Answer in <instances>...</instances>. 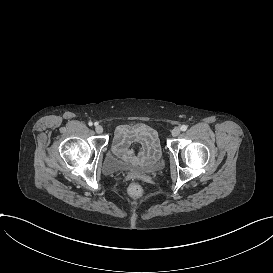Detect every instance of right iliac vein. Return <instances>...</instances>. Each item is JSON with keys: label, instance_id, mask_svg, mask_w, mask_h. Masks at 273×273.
Here are the masks:
<instances>
[{"label": "right iliac vein", "instance_id": "63e3f726", "mask_svg": "<svg viewBox=\"0 0 273 273\" xmlns=\"http://www.w3.org/2000/svg\"><path fill=\"white\" fill-rule=\"evenodd\" d=\"M95 131L98 133V134H101L103 132V127L101 125H98L96 124L95 125Z\"/></svg>", "mask_w": 273, "mask_h": 273}]
</instances>
